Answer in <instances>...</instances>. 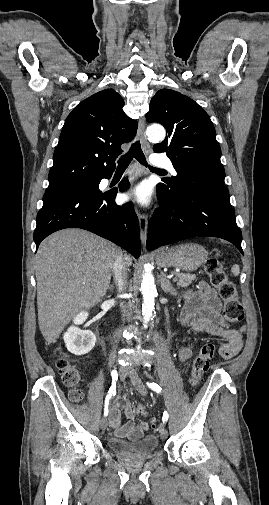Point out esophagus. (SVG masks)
I'll return each mask as SVG.
<instances>
[{"instance_id":"obj_1","label":"esophagus","mask_w":269,"mask_h":505,"mask_svg":"<svg viewBox=\"0 0 269 505\" xmlns=\"http://www.w3.org/2000/svg\"><path fill=\"white\" fill-rule=\"evenodd\" d=\"M138 133L140 136L141 143L144 147L145 150L149 148V142L147 141L146 134H145V121L144 119L139 120V125H138ZM138 220H139V228H140V236L143 244L146 242V237H147V226H148V220L147 216L142 213L138 212Z\"/></svg>"}]
</instances>
